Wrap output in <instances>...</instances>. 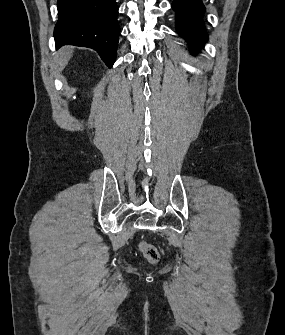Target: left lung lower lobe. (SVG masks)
Segmentation results:
<instances>
[{
	"label": "left lung lower lobe",
	"instance_id": "0a47b994",
	"mask_svg": "<svg viewBox=\"0 0 285 335\" xmlns=\"http://www.w3.org/2000/svg\"><path fill=\"white\" fill-rule=\"evenodd\" d=\"M172 8L176 12L177 31L190 42L192 52L196 53L207 38L202 0H174Z\"/></svg>",
	"mask_w": 285,
	"mask_h": 335
}]
</instances>
